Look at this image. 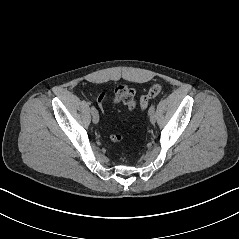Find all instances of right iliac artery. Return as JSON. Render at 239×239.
I'll return each instance as SVG.
<instances>
[{
    "label": "right iliac artery",
    "instance_id": "obj_1",
    "mask_svg": "<svg viewBox=\"0 0 239 239\" xmlns=\"http://www.w3.org/2000/svg\"><path fill=\"white\" fill-rule=\"evenodd\" d=\"M96 111V108L92 105L91 106V112L93 113V112H95Z\"/></svg>",
    "mask_w": 239,
    "mask_h": 239
}]
</instances>
